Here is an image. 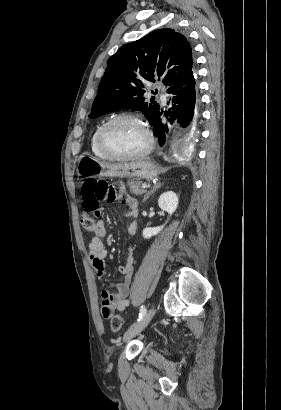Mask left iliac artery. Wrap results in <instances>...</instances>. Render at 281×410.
Returning a JSON list of instances; mask_svg holds the SVG:
<instances>
[{
	"label": "left iliac artery",
	"mask_w": 281,
	"mask_h": 410,
	"mask_svg": "<svg viewBox=\"0 0 281 410\" xmlns=\"http://www.w3.org/2000/svg\"><path fill=\"white\" fill-rule=\"evenodd\" d=\"M146 312H147L146 307L142 305L141 308H140L138 321H140L145 316Z\"/></svg>",
	"instance_id": "1"
}]
</instances>
